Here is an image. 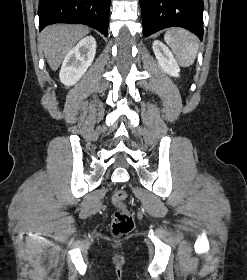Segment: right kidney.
Here are the masks:
<instances>
[{"mask_svg": "<svg viewBox=\"0 0 247 280\" xmlns=\"http://www.w3.org/2000/svg\"><path fill=\"white\" fill-rule=\"evenodd\" d=\"M96 54L93 36L81 39L66 55L60 70V81L67 87L74 85L92 64Z\"/></svg>", "mask_w": 247, "mask_h": 280, "instance_id": "obj_1", "label": "right kidney"}]
</instances>
